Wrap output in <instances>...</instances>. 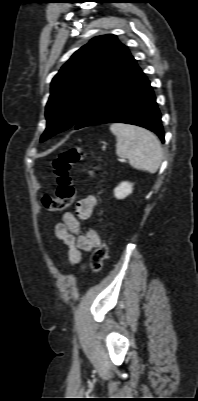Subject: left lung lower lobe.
<instances>
[{
  "label": "left lung lower lobe",
  "instance_id": "obj_1",
  "mask_svg": "<svg viewBox=\"0 0 198 401\" xmlns=\"http://www.w3.org/2000/svg\"><path fill=\"white\" fill-rule=\"evenodd\" d=\"M105 123H127L155 132L164 142L161 114L149 80L133 56L124 62L91 101L75 129Z\"/></svg>",
  "mask_w": 198,
  "mask_h": 401
}]
</instances>
